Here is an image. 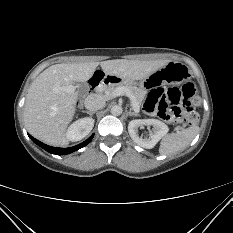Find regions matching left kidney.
<instances>
[{
    "mask_svg": "<svg viewBox=\"0 0 233 233\" xmlns=\"http://www.w3.org/2000/svg\"><path fill=\"white\" fill-rule=\"evenodd\" d=\"M152 126L153 132L150 133L149 138L143 139L138 136L137 130L142 126ZM168 126L157 119H135L128 124V132L133 141L139 146L151 149L158 141L164 137L168 132Z\"/></svg>",
    "mask_w": 233,
    "mask_h": 233,
    "instance_id": "5707ae66",
    "label": "left kidney"
}]
</instances>
